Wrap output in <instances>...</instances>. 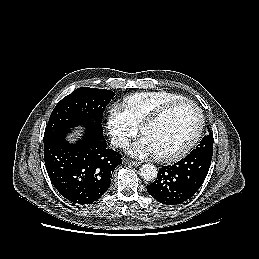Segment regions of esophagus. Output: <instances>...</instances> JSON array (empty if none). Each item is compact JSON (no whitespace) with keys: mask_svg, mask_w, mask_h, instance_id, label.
<instances>
[{"mask_svg":"<svg viewBox=\"0 0 259 259\" xmlns=\"http://www.w3.org/2000/svg\"><path fill=\"white\" fill-rule=\"evenodd\" d=\"M123 161H124V163H128V164H131V165H134V166H139L141 164V162L133 161V160H130V159H127V158H125Z\"/></svg>","mask_w":259,"mask_h":259,"instance_id":"esophagus-1","label":"esophagus"}]
</instances>
